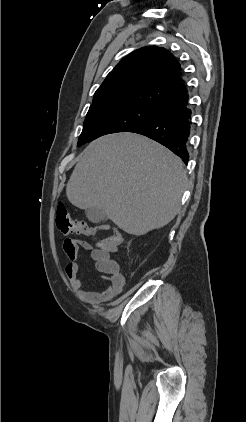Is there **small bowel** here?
I'll return each instance as SVG.
<instances>
[{
    "instance_id": "small-bowel-1",
    "label": "small bowel",
    "mask_w": 246,
    "mask_h": 422,
    "mask_svg": "<svg viewBox=\"0 0 246 422\" xmlns=\"http://www.w3.org/2000/svg\"><path fill=\"white\" fill-rule=\"evenodd\" d=\"M80 247L92 252V258L96 262V268L106 275L105 279L108 281V285L101 292L85 290L86 283L79 277L80 264L78 258ZM63 248L69 258V262L65 269L66 276L83 299L93 304H101L112 300L121 293L125 279L121 273L120 264L116 263L114 269L111 271L106 270L103 266L105 261L111 259L109 254L95 249L92 244L87 241L74 239H66Z\"/></svg>"
}]
</instances>
